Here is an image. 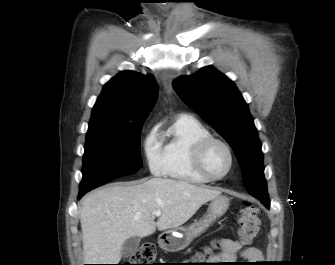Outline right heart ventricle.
<instances>
[{"mask_svg":"<svg viewBox=\"0 0 335 265\" xmlns=\"http://www.w3.org/2000/svg\"><path fill=\"white\" fill-rule=\"evenodd\" d=\"M210 135V131L196 118L179 116L162 137L163 174L185 183H207L209 180L194 167L193 151L201 139Z\"/></svg>","mask_w":335,"mask_h":265,"instance_id":"right-heart-ventricle-1","label":"right heart ventricle"}]
</instances>
